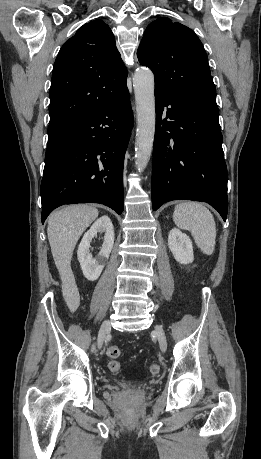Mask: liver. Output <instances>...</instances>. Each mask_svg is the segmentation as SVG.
I'll return each instance as SVG.
<instances>
[{
	"mask_svg": "<svg viewBox=\"0 0 261 459\" xmlns=\"http://www.w3.org/2000/svg\"><path fill=\"white\" fill-rule=\"evenodd\" d=\"M97 208L71 205L53 212L48 219L47 234L55 265L63 282V291L74 285L71 259L74 248L90 224L98 217Z\"/></svg>",
	"mask_w": 261,
	"mask_h": 459,
	"instance_id": "liver-1",
	"label": "liver"
}]
</instances>
